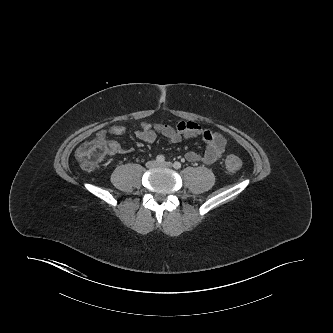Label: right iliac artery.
Here are the masks:
<instances>
[{
    "label": "right iliac artery",
    "mask_w": 333,
    "mask_h": 333,
    "mask_svg": "<svg viewBox=\"0 0 333 333\" xmlns=\"http://www.w3.org/2000/svg\"><path fill=\"white\" fill-rule=\"evenodd\" d=\"M157 163H164L165 162V157L163 155H158L156 157Z\"/></svg>",
    "instance_id": "obj_1"
}]
</instances>
